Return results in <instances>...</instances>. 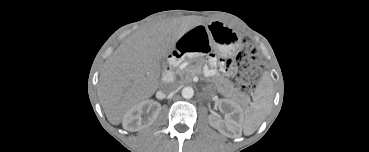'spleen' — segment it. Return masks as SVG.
I'll return each instance as SVG.
<instances>
[{"label":"spleen","instance_id":"3e777b00","mask_svg":"<svg viewBox=\"0 0 369 152\" xmlns=\"http://www.w3.org/2000/svg\"><path fill=\"white\" fill-rule=\"evenodd\" d=\"M273 89L270 80L265 77L256 88L253 101L245 110L242 127L245 131L253 133L268 115L273 101Z\"/></svg>","mask_w":369,"mask_h":152}]
</instances>
